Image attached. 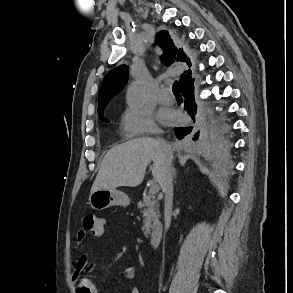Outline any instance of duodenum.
<instances>
[{
	"label": "duodenum",
	"mask_w": 293,
	"mask_h": 293,
	"mask_svg": "<svg viewBox=\"0 0 293 293\" xmlns=\"http://www.w3.org/2000/svg\"><path fill=\"white\" fill-rule=\"evenodd\" d=\"M164 231V225L162 221L158 220L154 223L149 236V242L152 248H157L160 244Z\"/></svg>",
	"instance_id": "obj_1"
}]
</instances>
